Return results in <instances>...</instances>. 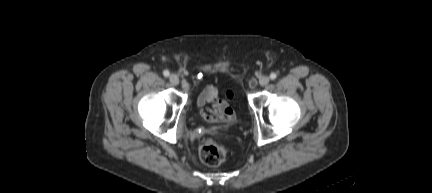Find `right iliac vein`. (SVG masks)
<instances>
[{
    "mask_svg": "<svg viewBox=\"0 0 432 193\" xmlns=\"http://www.w3.org/2000/svg\"><path fill=\"white\" fill-rule=\"evenodd\" d=\"M169 81H170V83H171L173 86H177V85L179 84V78H178V76L175 75V74H172V75L169 77Z\"/></svg>",
    "mask_w": 432,
    "mask_h": 193,
    "instance_id": "63e3f726",
    "label": "right iliac vein"
}]
</instances>
